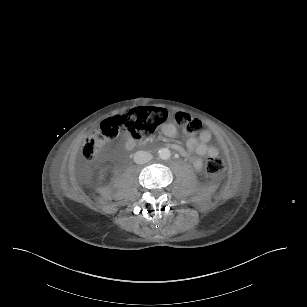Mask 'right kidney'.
Returning a JSON list of instances; mask_svg holds the SVG:
<instances>
[{"instance_id": "right-kidney-1", "label": "right kidney", "mask_w": 307, "mask_h": 307, "mask_svg": "<svg viewBox=\"0 0 307 307\" xmlns=\"http://www.w3.org/2000/svg\"><path fill=\"white\" fill-rule=\"evenodd\" d=\"M99 182H101V181H103L104 180V177L101 175V176H99Z\"/></svg>"}]
</instances>
